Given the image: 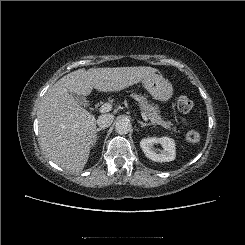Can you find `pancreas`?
Listing matches in <instances>:
<instances>
[{
	"mask_svg": "<svg viewBox=\"0 0 245 245\" xmlns=\"http://www.w3.org/2000/svg\"><path fill=\"white\" fill-rule=\"evenodd\" d=\"M131 97L134 98L139 106L141 111L147 116V118L151 121V124L153 125H161L162 127L172 130L176 132V127H172L173 124L170 121H165L163 118H161L160 111L158 109V106H154L153 104H149L148 100L142 96L141 94L133 93L131 94Z\"/></svg>",
	"mask_w": 245,
	"mask_h": 245,
	"instance_id": "pancreas-1",
	"label": "pancreas"
}]
</instances>
